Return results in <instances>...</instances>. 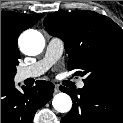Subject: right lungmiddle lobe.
<instances>
[{"label":"right lung middle lobe","instance_id":"right-lung-middle-lobe-1","mask_svg":"<svg viewBox=\"0 0 123 123\" xmlns=\"http://www.w3.org/2000/svg\"><path fill=\"white\" fill-rule=\"evenodd\" d=\"M20 53L7 44H1V83L14 81Z\"/></svg>","mask_w":123,"mask_h":123}]
</instances>
